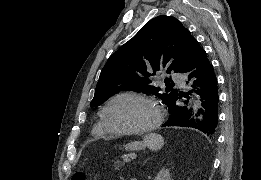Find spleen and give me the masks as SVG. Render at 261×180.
<instances>
[{"mask_svg":"<svg viewBox=\"0 0 261 180\" xmlns=\"http://www.w3.org/2000/svg\"><path fill=\"white\" fill-rule=\"evenodd\" d=\"M144 142H160V146H163V140L160 138V136H157V134H146L143 138Z\"/></svg>","mask_w":261,"mask_h":180,"instance_id":"1","label":"spleen"}]
</instances>
